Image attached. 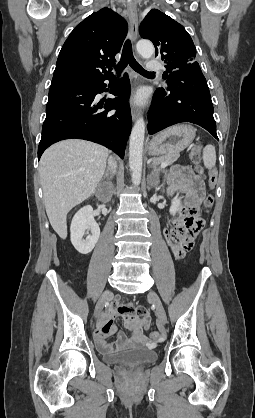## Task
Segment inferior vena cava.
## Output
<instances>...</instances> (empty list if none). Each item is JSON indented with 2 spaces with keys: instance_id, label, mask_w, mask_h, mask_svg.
I'll use <instances>...</instances> for the list:
<instances>
[{
  "instance_id": "obj_1",
  "label": "inferior vena cava",
  "mask_w": 255,
  "mask_h": 418,
  "mask_svg": "<svg viewBox=\"0 0 255 418\" xmlns=\"http://www.w3.org/2000/svg\"><path fill=\"white\" fill-rule=\"evenodd\" d=\"M116 168H117L116 161L112 157H109V160H108V169L110 170V172L115 173L116 172Z\"/></svg>"
}]
</instances>
